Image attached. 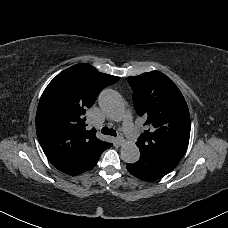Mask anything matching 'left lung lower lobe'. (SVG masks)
Masks as SVG:
<instances>
[{"instance_id":"0a47b994","label":"left lung lower lobe","mask_w":228,"mask_h":228,"mask_svg":"<svg viewBox=\"0 0 228 228\" xmlns=\"http://www.w3.org/2000/svg\"><path fill=\"white\" fill-rule=\"evenodd\" d=\"M178 162L150 152L141 151L140 159L134 164H127L128 171L135 177L152 181L171 172Z\"/></svg>"}]
</instances>
